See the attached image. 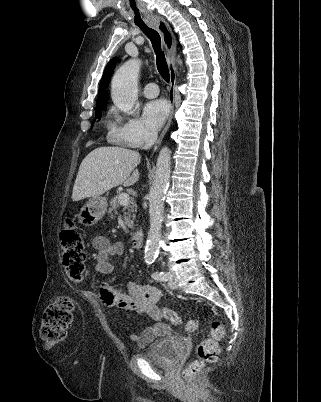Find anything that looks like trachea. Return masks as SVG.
Masks as SVG:
<instances>
[{
	"label": "trachea",
	"mask_w": 321,
	"mask_h": 402,
	"mask_svg": "<svg viewBox=\"0 0 321 402\" xmlns=\"http://www.w3.org/2000/svg\"><path fill=\"white\" fill-rule=\"evenodd\" d=\"M137 26L143 31V33L150 39L153 49L156 54V63H157V69L162 78L169 83L170 81V74H169V69L167 66V62L165 59V56L161 50V38L159 33L148 27L145 23L143 24H137Z\"/></svg>",
	"instance_id": "1"
}]
</instances>
